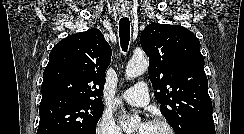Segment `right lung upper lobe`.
Here are the masks:
<instances>
[{
    "label": "right lung upper lobe",
    "mask_w": 244,
    "mask_h": 134,
    "mask_svg": "<svg viewBox=\"0 0 244 134\" xmlns=\"http://www.w3.org/2000/svg\"><path fill=\"white\" fill-rule=\"evenodd\" d=\"M110 61L111 48L98 29L64 38L49 54L43 73L41 102L67 98L103 103L101 93Z\"/></svg>",
    "instance_id": "1"
}]
</instances>
